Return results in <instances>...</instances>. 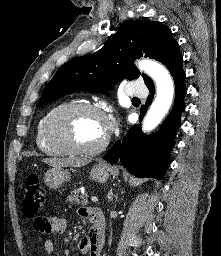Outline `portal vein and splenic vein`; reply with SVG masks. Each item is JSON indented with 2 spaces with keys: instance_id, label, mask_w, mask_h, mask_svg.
<instances>
[{
  "instance_id": "1",
  "label": "portal vein and splenic vein",
  "mask_w": 221,
  "mask_h": 256,
  "mask_svg": "<svg viewBox=\"0 0 221 256\" xmlns=\"http://www.w3.org/2000/svg\"><path fill=\"white\" fill-rule=\"evenodd\" d=\"M91 201L96 203V202H98V198L96 196H92L91 197Z\"/></svg>"
}]
</instances>
